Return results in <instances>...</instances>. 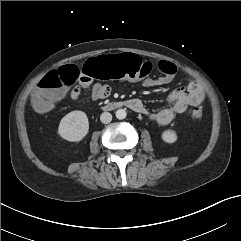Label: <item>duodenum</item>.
<instances>
[{
    "label": "duodenum",
    "mask_w": 241,
    "mask_h": 241,
    "mask_svg": "<svg viewBox=\"0 0 241 241\" xmlns=\"http://www.w3.org/2000/svg\"><path fill=\"white\" fill-rule=\"evenodd\" d=\"M130 106L128 102L123 101H115V102H109L103 106L104 110H115L121 107Z\"/></svg>",
    "instance_id": "duodenum-1"
}]
</instances>
